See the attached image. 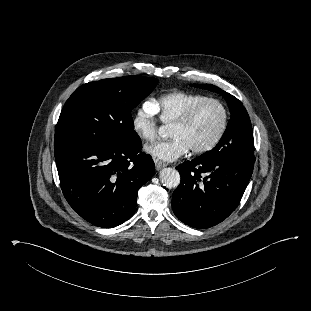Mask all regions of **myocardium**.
Returning a JSON list of instances; mask_svg holds the SVG:
<instances>
[{"mask_svg":"<svg viewBox=\"0 0 311 311\" xmlns=\"http://www.w3.org/2000/svg\"><path fill=\"white\" fill-rule=\"evenodd\" d=\"M208 103H214L217 104L222 111V122L220 125L219 130L217 131L216 135L205 145L201 146V147H197V148H192L191 151L193 153L196 154H200V153H205L207 151H210L211 149H213L218 143L219 141L222 139L226 129H227V125H228V119H229V115H228V110L227 107L225 106V104L216 99V98H206L198 103H196L195 105H193L189 110H187L185 112V114L183 116H181L178 120H176L172 125L175 126H186L188 125L196 116V114L198 113V111L206 104Z\"/></svg>","mask_w":311,"mask_h":311,"instance_id":"obj_1","label":"myocardium"}]
</instances>
